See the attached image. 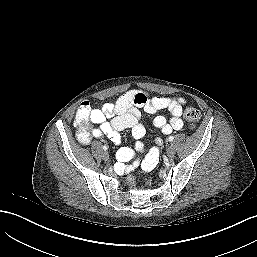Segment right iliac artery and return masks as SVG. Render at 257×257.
<instances>
[{"mask_svg": "<svg viewBox=\"0 0 257 257\" xmlns=\"http://www.w3.org/2000/svg\"><path fill=\"white\" fill-rule=\"evenodd\" d=\"M107 149H108V147H107L106 145H104V146H103V150L106 151Z\"/></svg>", "mask_w": 257, "mask_h": 257, "instance_id": "right-iliac-artery-1", "label": "right iliac artery"}]
</instances>
